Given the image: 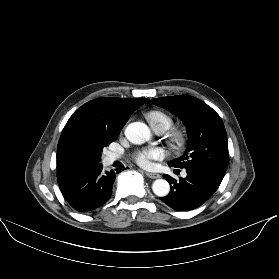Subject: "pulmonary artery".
Returning a JSON list of instances; mask_svg holds the SVG:
<instances>
[{
  "label": "pulmonary artery",
  "instance_id": "1",
  "mask_svg": "<svg viewBox=\"0 0 279 279\" xmlns=\"http://www.w3.org/2000/svg\"><path fill=\"white\" fill-rule=\"evenodd\" d=\"M157 133H162L163 131L160 129H154ZM120 156L117 153H110L107 155V161L108 162H113L116 159H118ZM183 176H186V172H183Z\"/></svg>",
  "mask_w": 279,
  "mask_h": 279
}]
</instances>
